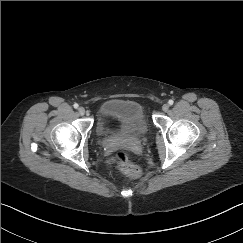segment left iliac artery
<instances>
[{
  "label": "left iliac artery",
  "instance_id": "obj_1",
  "mask_svg": "<svg viewBox=\"0 0 243 243\" xmlns=\"http://www.w3.org/2000/svg\"><path fill=\"white\" fill-rule=\"evenodd\" d=\"M168 103H169V105H173L174 101H173L172 99H170V100L168 101Z\"/></svg>",
  "mask_w": 243,
  "mask_h": 243
}]
</instances>
